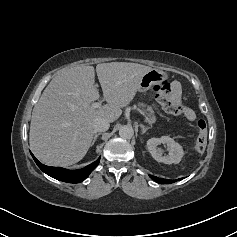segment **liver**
<instances>
[{"instance_id": "liver-1", "label": "liver", "mask_w": 237, "mask_h": 237, "mask_svg": "<svg viewBox=\"0 0 237 237\" xmlns=\"http://www.w3.org/2000/svg\"><path fill=\"white\" fill-rule=\"evenodd\" d=\"M152 68L137 63L111 62L96 66L107 104L93 108L100 95L93 66L61 70L43 91L32 112L29 143L34 155L50 166L79 162L89 150L93 121H116L135 97L142 76Z\"/></svg>"}]
</instances>
